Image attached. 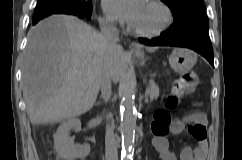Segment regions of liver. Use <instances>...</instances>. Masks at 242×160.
I'll use <instances>...</instances> for the list:
<instances>
[{
	"label": "liver",
	"instance_id": "1",
	"mask_svg": "<svg viewBox=\"0 0 242 160\" xmlns=\"http://www.w3.org/2000/svg\"><path fill=\"white\" fill-rule=\"evenodd\" d=\"M157 49L146 48L149 52ZM111 50L121 52L117 82L126 69L122 47H108L102 34L83 21L56 15L33 27L22 62L23 97L31 123H56L89 111Z\"/></svg>",
	"mask_w": 242,
	"mask_h": 160
}]
</instances>
